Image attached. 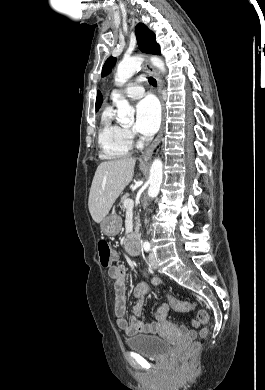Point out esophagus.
Here are the masks:
<instances>
[{"label": "esophagus", "mask_w": 265, "mask_h": 390, "mask_svg": "<svg viewBox=\"0 0 265 390\" xmlns=\"http://www.w3.org/2000/svg\"><path fill=\"white\" fill-rule=\"evenodd\" d=\"M145 66H146L147 70L154 76V78L157 81L158 95H159V98H160V101H161V105H162V109H163V115H164L165 108H164V100H163V97H162V83H161L160 76H159L158 72L156 71V69L151 65V63L148 60H146ZM163 132H164V116H163V122H162L161 129L159 131V134H158L155 142L141 154L140 160H143V161L148 160L151 152L159 144V142L161 140V137L163 135Z\"/></svg>", "instance_id": "obj_1"}]
</instances>
